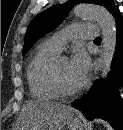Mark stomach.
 Instances as JSON below:
<instances>
[{
	"instance_id": "1",
	"label": "stomach",
	"mask_w": 123,
	"mask_h": 130,
	"mask_svg": "<svg viewBox=\"0 0 123 130\" xmlns=\"http://www.w3.org/2000/svg\"><path fill=\"white\" fill-rule=\"evenodd\" d=\"M69 129L70 130H83V124L79 120L72 119L69 122Z\"/></svg>"
}]
</instances>
